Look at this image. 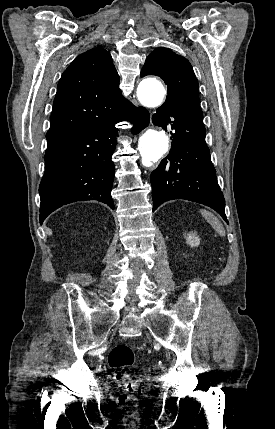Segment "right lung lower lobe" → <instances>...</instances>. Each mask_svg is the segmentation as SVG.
Returning <instances> with one entry per match:
<instances>
[{
    "label": "right lung lower lobe",
    "instance_id": "98d812e1",
    "mask_svg": "<svg viewBox=\"0 0 275 429\" xmlns=\"http://www.w3.org/2000/svg\"><path fill=\"white\" fill-rule=\"evenodd\" d=\"M128 120L139 133L149 123L145 108L130 102L116 118L48 140L45 173L39 187L40 223L57 208L75 201L97 200L115 209L111 197L116 148L115 124Z\"/></svg>",
    "mask_w": 275,
    "mask_h": 429
}]
</instances>
